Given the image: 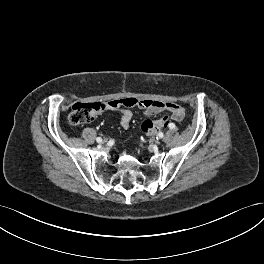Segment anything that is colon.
<instances>
[{
    "label": "colon",
    "mask_w": 264,
    "mask_h": 264,
    "mask_svg": "<svg viewBox=\"0 0 264 264\" xmlns=\"http://www.w3.org/2000/svg\"><path fill=\"white\" fill-rule=\"evenodd\" d=\"M135 103L132 98H120L112 100L108 103L92 102V103H75L69 114V121L73 125H83L91 122L101 111L106 108H118L122 106L130 107ZM169 119L167 116H162L157 119L145 120L142 125V131L148 135H154L158 131L167 127Z\"/></svg>",
    "instance_id": "colon-1"
}]
</instances>
